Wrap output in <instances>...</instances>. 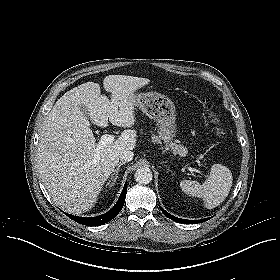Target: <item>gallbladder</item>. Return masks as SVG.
<instances>
[{
  "label": "gallbladder",
  "instance_id": "bac80fb5",
  "mask_svg": "<svg viewBox=\"0 0 280 280\" xmlns=\"http://www.w3.org/2000/svg\"><path fill=\"white\" fill-rule=\"evenodd\" d=\"M81 109H82L84 115H85L87 118H89L87 109H86V108H81Z\"/></svg>",
  "mask_w": 280,
  "mask_h": 280
}]
</instances>
